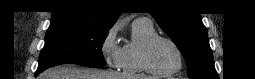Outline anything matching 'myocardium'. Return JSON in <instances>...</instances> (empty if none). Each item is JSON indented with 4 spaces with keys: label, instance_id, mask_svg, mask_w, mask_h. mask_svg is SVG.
I'll use <instances>...</instances> for the list:
<instances>
[{
    "label": "myocardium",
    "instance_id": "obj_1",
    "mask_svg": "<svg viewBox=\"0 0 255 79\" xmlns=\"http://www.w3.org/2000/svg\"><path fill=\"white\" fill-rule=\"evenodd\" d=\"M160 40L168 42L175 49V51L178 55V65L173 70L160 71V70L156 69L150 61L151 48L153 47V45L157 41H160ZM183 59H184L183 58V52H182L181 48L179 47V45L174 40H172L171 38H168V37L162 36V35H158V34H155L154 36L149 38L144 43V45L142 47V51H141V62H142L143 68L148 73H151L153 75L168 76V75H173V74L179 72L183 67Z\"/></svg>",
    "mask_w": 255,
    "mask_h": 79
}]
</instances>
